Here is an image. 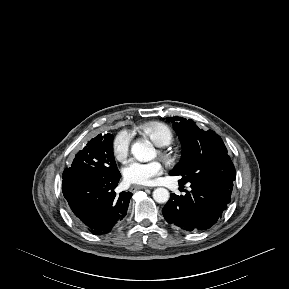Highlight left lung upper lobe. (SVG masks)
<instances>
[{
  "mask_svg": "<svg viewBox=\"0 0 289 289\" xmlns=\"http://www.w3.org/2000/svg\"><path fill=\"white\" fill-rule=\"evenodd\" d=\"M182 143L181 161L171 171L180 184H204L232 192L235 167L222 139L215 132L199 129L191 119L168 117Z\"/></svg>",
  "mask_w": 289,
  "mask_h": 289,
  "instance_id": "obj_1",
  "label": "left lung upper lobe"
}]
</instances>
